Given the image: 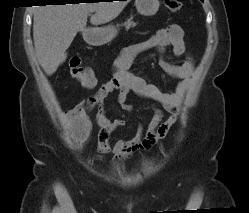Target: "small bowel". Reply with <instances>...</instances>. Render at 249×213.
Here are the masks:
<instances>
[{
    "instance_id": "obj_1",
    "label": "small bowel",
    "mask_w": 249,
    "mask_h": 213,
    "mask_svg": "<svg viewBox=\"0 0 249 213\" xmlns=\"http://www.w3.org/2000/svg\"><path fill=\"white\" fill-rule=\"evenodd\" d=\"M169 46L172 47L175 56H181L186 52L184 33L179 25L171 24L158 30L149 39L124 49L115 63L112 77L102 84L94 95L68 112L78 145L81 146L90 135L91 121L88 113L94 108H97L96 121L100 126L97 135V150L100 153L113 152L116 160H125L139 150H149L158 141L168 136L179 118L182 100L194 75V61L191 58L182 64H173L165 59L164 54ZM151 48H155L159 53L160 68L171 78L179 80L173 92H164L143 78L127 73V68L136 56ZM113 91H118L117 103L124 110H132V107L126 103L131 91L141 98L159 103L163 110L154 109V115L145 131L142 126H139L134 137L126 140L119 139L111 146L109 143L111 134L126 122L122 118L112 121L107 115L104 102ZM164 111L168 113L166 118ZM97 158L102 159L100 156Z\"/></svg>"
}]
</instances>
